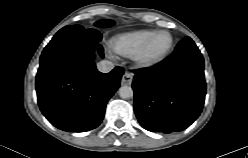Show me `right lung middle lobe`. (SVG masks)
<instances>
[{"label": "right lung middle lobe", "mask_w": 248, "mask_h": 158, "mask_svg": "<svg viewBox=\"0 0 248 158\" xmlns=\"http://www.w3.org/2000/svg\"><path fill=\"white\" fill-rule=\"evenodd\" d=\"M97 28H106L114 25L113 20H99L95 24ZM84 28L80 25H73V26H65L60 31H70V30H83Z\"/></svg>", "instance_id": "dd1d6c3e"}]
</instances>
